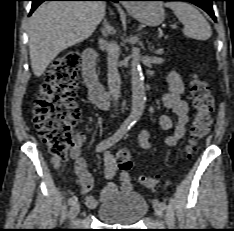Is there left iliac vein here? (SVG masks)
<instances>
[{
	"mask_svg": "<svg viewBox=\"0 0 234 231\" xmlns=\"http://www.w3.org/2000/svg\"><path fill=\"white\" fill-rule=\"evenodd\" d=\"M153 205L156 215L162 217L164 209L160 206V202L158 200H155Z\"/></svg>",
	"mask_w": 234,
	"mask_h": 231,
	"instance_id": "left-iliac-vein-1",
	"label": "left iliac vein"
}]
</instances>
